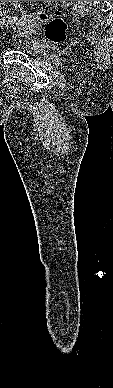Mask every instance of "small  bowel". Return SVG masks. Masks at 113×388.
<instances>
[{
  "mask_svg": "<svg viewBox=\"0 0 113 388\" xmlns=\"http://www.w3.org/2000/svg\"><path fill=\"white\" fill-rule=\"evenodd\" d=\"M15 8H21L20 1H9Z\"/></svg>",
  "mask_w": 113,
  "mask_h": 388,
  "instance_id": "small-bowel-1",
  "label": "small bowel"
}]
</instances>
